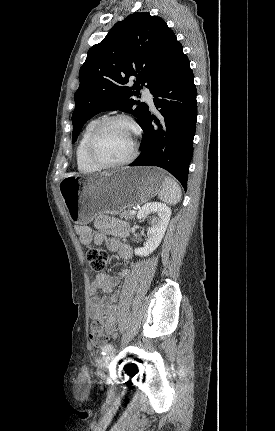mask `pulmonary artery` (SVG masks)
Listing matches in <instances>:
<instances>
[{"mask_svg": "<svg viewBox=\"0 0 275 431\" xmlns=\"http://www.w3.org/2000/svg\"><path fill=\"white\" fill-rule=\"evenodd\" d=\"M143 99L148 103L150 108L154 109V102H153V96L148 90L143 91Z\"/></svg>", "mask_w": 275, "mask_h": 431, "instance_id": "obj_1", "label": "pulmonary artery"}]
</instances>
